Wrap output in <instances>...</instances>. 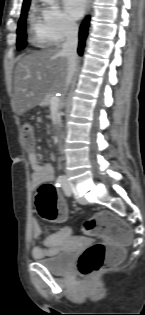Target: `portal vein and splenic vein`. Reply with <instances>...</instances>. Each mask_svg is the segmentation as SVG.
Segmentation results:
<instances>
[{
  "instance_id": "18ae733b",
  "label": "portal vein and splenic vein",
  "mask_w": 145,
  "mask_h": 315,
  "mask_svg": "<svg viewBox=\"0 0 145 315\" xmlns=\"http://www.w3.org/2000/svg\"><path fill=\"white\" fill-rule=\"evenodd\" d=\"M58 102H59V99L57 97L53 96L51 98V105H57Z\"/></svg>"
}]
</instances>
